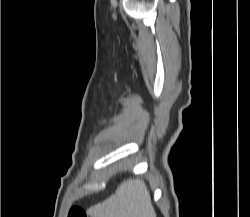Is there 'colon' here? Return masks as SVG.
I'll return each instance as SVG.
<instances>
[{"label": "colon", "instance_id": "colon-1", "mask_svg": "<svg viewBox=\"0 0 250 217\" xmlns=\"http://www.w3.org/2000/svg\"><path fill=\"white\" fill-rule=\"evenodd\" d=\"M68 217H88L87 213L80 207H73L68 213Z\"/></svg>", "mask_w": 250, "mask_h": 217}]
</instances>
